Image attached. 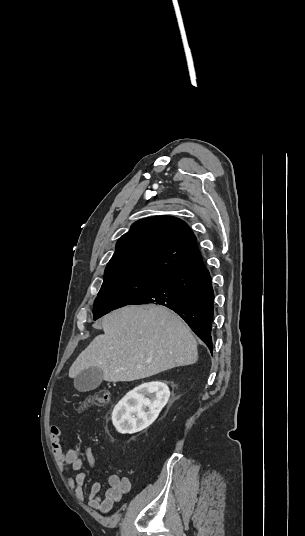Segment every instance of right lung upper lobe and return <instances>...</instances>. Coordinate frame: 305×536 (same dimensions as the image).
<instances>
[{"mask_svg": "<svg viewBox=\"0 0 305 536\" xmlns=\"http://www.w3.org/2000/svg\"><path fill=\"white\" fill-rule=\"evenodd\" d=\"M202 260L196 237L175 217L141 219L121 236L105 277L125 274L169 275Z\"/></svg>", "mask_w": 305, "mask_h": 536, "instance_id": "right-lung-upper-lobe-1", "label": "right lung upper lobe"}]
</instances>
